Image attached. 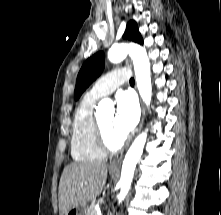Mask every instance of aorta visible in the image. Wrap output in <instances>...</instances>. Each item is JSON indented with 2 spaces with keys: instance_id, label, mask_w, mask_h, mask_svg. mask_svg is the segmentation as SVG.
Returning <instances> with one entry per match:
<instances>
[{
  "instance_id": "1",
  "label": "aorta",
  "mask_w": 221,
  "mask_h": 215,
  "mask_svg": "<svg viewBox=\"0 0 221 215\" xmlns=\"http://www.w3.org/2000/svg\"><path fill=\"white\" fill-rule=\"evenodd\" d=\"M127 55L133 60L135 77L140 96L144 103L149 106L152 96L151 71L150 62L146 50L135 43H121L113 45L108 51V59L112 63H119L124 60ZM113 106L109 99H103L98 105V109ZM147 141V131L142 132L132 143L123 160L121 177L119 181L120 193L118 194V202L121 203L131 187L136 164L138 163L145 143Z\"/></svg>"
}]
</instances>
